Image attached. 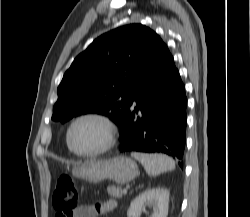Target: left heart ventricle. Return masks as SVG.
<instances>
[{
  "label": "left heart ventricle",
  "instance_id": "obj_1",
  "mask_svg": "<svg viewBox=\"0 0 250 217\" xmlns=\"http://www.w3.org/2000/svg\"><path fill=\"white\" fill-rule=\"evenodd\" d=\"M105 139V129L96 120H83L76 124L71 134V141L75 149L86 152L97 149Z\"/></svg>",
  "mask_w": 250,
  "mask_h": 217
}]
</instances>
